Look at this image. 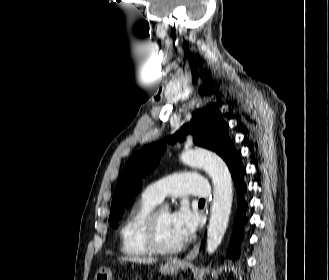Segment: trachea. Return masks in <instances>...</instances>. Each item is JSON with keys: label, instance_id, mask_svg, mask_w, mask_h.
I'll return each instance as SVG.
<instances>
[{"label": "trachea", "instance_id": "trachea-1", "mask_svg": "<svg viewBox=\"0 0 329 280\" xmlns=\"http://www.w3.org/2000/svg\"><path fill=\"white\" fill-rule=\"evenodd\" d=\"M200 202H205V200L204 199H201Z\"/></svg>", "mask_w": 329, "mask_h": 280}]
</instances>
